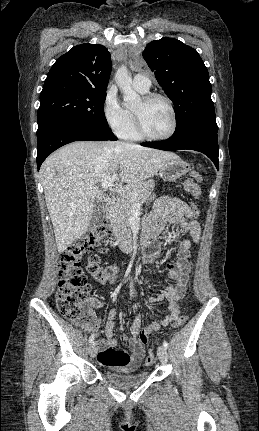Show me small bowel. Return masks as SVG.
Listing matches in <instances>:
<instances>
[{
  "mask_svg": "<svg viewBox=\"0 0 259 431\" xmlns=\"http://www.w3.org/2000/svg\"><path fill=\"white\" fill-rule=\"evenodd\" d=\"M189 205L174 197H162L157 200L153 209L145 216L141 226V241L147 247L150 241L156 238L167 223L175 224L177 228L187 231L193 242L200 240V225L188 211ZM190 239H181L178 243L177 259L167 265L170 279L173 285L159 291L148 299L150 304H155L166 300L168 302L169 313L158 322H153L142 327V317L138 313L131 325V335L123 336V340L128 343L130 351L116 350V339L114 337V319L116 307L112 306L108 312L105 322L106 339L99 341L98 362L107 368H125L139 366L144 355V343L141 340L143 333L150 334L163 327L170 325L179 315L178 303L185 297L188 291L189 274L191 271ZM90 304L96 308L102 306L97 299H90ZM99 321L95 320L93 325L98 327Z\"/></svg>",
  "mask_w": 259,
  "mask_h": 431,
  "instance_id": "obj_1",
  "label": "small bowel"
}]
</instances>
